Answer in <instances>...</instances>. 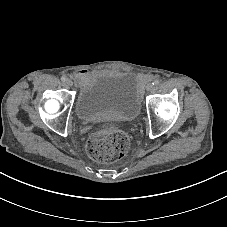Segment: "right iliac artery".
Returning a JSON list of instances; mask_svg holds the SVG:
<instances>
[{"mask_svg":"<svg viewBox=\"0 0 227 227\" xmlns=\"http://www.w3.org/2000/svg\"><path fill=\"white\" fill-rule=\"evenodd\" d=\"M61 80H62L63 82H65V81L67 80V78H66L65 76H62V77H61Z\"/></svg>","mask_w":227,"mask_h":227,"instance_id":"obj_1","label":"right iliac artery"}]
</instances>
